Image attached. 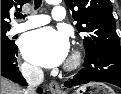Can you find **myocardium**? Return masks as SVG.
Listing matches in <instances>:
<instances>
[{"label":"myocardium","instance_id":"obj_1","mask_svg":"<svg viewBox=\"0 0 121 94\" xmlns=\"http://www.w3.org/2000/svg\"><path fill=\"white\" fill-rule=\"evenodd\" d=\"M80 55L77 52H74L68 59L65 68L67 70H74L80 64Z\"/></svg>","mask_w":121,"mask_h":94}]
</instances>
